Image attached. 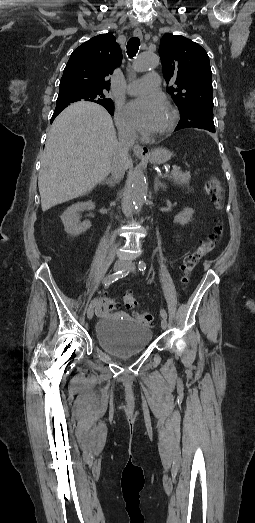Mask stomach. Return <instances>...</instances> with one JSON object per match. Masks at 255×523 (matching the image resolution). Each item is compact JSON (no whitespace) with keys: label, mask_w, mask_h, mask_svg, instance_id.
I'll return each mask as SVG.
<instances>
[{"label":"stomach","mask_w":255,"mask_h":523,"mask_svg":"<svg viewBox=\"0 0 255 523\" xmlns=\"http://www.w3.org/2000/svg\"><path fill=\"white\" fill-rule=\"evenodd\" d=\"M139 158H148L149 162H152V164H163V162H167L170 158V152L166 150V148H156V150H153V152H150V154H143V156H139Z\"/></svg>","instance_id":"stomach-1"}]
</instances>
